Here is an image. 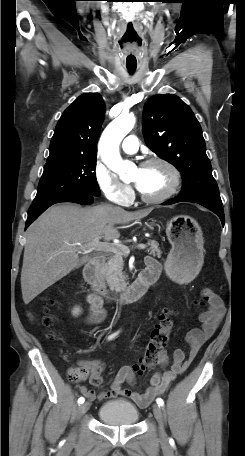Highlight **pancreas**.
I'll return each instance as SVG.
<instances>
[{"mask_svg": "<svg viewBox=\"0 0 245 456\" xmlns=\"http://www.w3.org/2000/svg\"><path fill=\"white\" fill-rule=\"evenodd\" d=\"M147 245L149 246L147 252L150 255L161 258L162 252L156 241L149 240ZM124 256H126V254L118 248L116 253L108 255V261L102 269V277L105 279L111 291L119 292L127 285L125 282L126 276L123 273Z\"/></svg>", "mask_w": 245, "mask_h": 456, "instance_id": "obj_1", "label": "pancreas"}]
</instances>
